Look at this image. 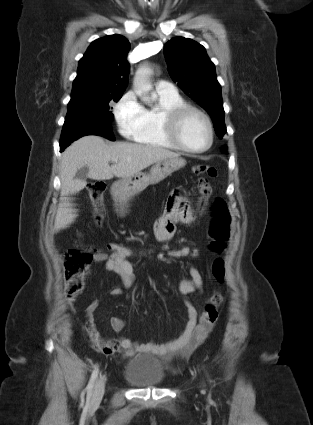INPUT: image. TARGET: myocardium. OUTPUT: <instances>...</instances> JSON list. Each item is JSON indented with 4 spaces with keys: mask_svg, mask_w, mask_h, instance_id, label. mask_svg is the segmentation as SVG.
Returning a JSON list of instances; mask_svg holds the SVG:
<instances>
[{
    "mask_svg": "<svg viewBox=\"0 0 313 425\" xmlns=\"http://www.w3.org/2000/svg\"><path fill=\"white\" fill-rule=\"evenodd\" d=\"M192 114H196L199 115L200 117H202V119L205 121L207 128H208V133H209V141L206 144V146H204L203 148L200 149H193L188 147L184 141L182 140L181 137V130H182V126L184 121L187 119L188 116L192 115ZM163 124L165 127V131H166V135L168 136V138L181 150L188 152V153H193V154H198V153H203L207 150H209L214 142V128H213V124L212 121L210 119V117L201 109L195 107V106H191V105H181L179 107L170 109L168 111H166L163 114Z\"/></svg>",
    "mask_w": 313,
    "mask_h": 425,
    "instance_id": "1",
    "label": "myocardium"
}]
</instances>
